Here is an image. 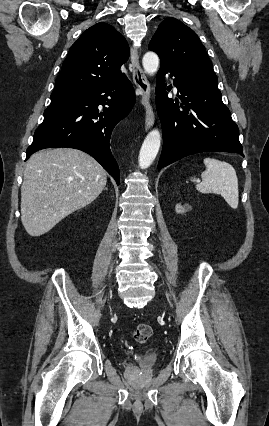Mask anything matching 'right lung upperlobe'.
Wrapping results in <instances>:
<instances>
[{
    "label": "right lung upper lobe",
    "mask_w": 269,
    "mask_h": 426,
    "mask_svg": "<svg viewBox=\"0 0 269 426\" xmlns=\"http://www.w3.org/2000/svg\"><path fill=\"white\" fill-rule=\"evenodd\" d=\"M128 57L125 38L113 26L97 23L71 46L53 92H79L115 83L125 77L120 67Z\"/></svg>",
    "instance_id": "1"
}]
</instances>
